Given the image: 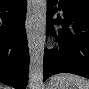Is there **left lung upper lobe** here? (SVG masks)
<instances>
[{"mask_svg": "<svg viewBox=\"0 0 89 89\" xmlns=\"http://www.w3.org/2000/svg\"><path fill=\"white\" fill-rule=\"evenodd\" d=\"M77 1H82V2H87V3H89V0H77Z\"/></svg>", "mask_w": 89, "mask_h": 89, "instance_id": "5c2ea615", "label": "left lung upper lobe"}]
</instances>
